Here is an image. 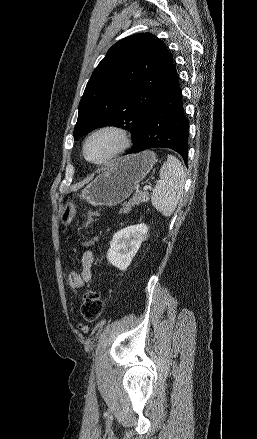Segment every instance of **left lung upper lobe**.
Returning a JSON list of instances; mask_svg holds the SVG:
<instances>
[{"label": "left lung upper lobe", "instance_id": "5c2ea615", "mask_svg": "<svg viewBox=\"0 0 257 439\" xmlns=\"http://www.w3.org/2000/svg\"><path fill=\"white\" fill-rule=\"evenodd\" d=\"M175 71L171 53L150 33L115 43L87 83L74 139L98 127L117 126L131 132L136 146L144 115Z\"/></svg>", "mask_w": 257, "mask_h": 439}]
</instances>
